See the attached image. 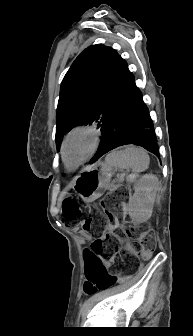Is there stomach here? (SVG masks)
I'll use <instances>...</instances> for the list:
<instances>
[{
  "label": "stomach",
  "instance_id": "obj_1",
  "mask_svg": "<svg viewBox=\"0 0 193 336\" xmlns=\"http://www.w3.org/2000/svg\"><path fill=\"white\" fill-rule=\"evenodd\" d=\"M111 175V165L97 163L84 168L80 174L76 176L73 188L85 202H92L99 198L109 186Z\"/></svg>",
  "mask_w": 193,
  "mask_h": 336
}]
</instances>
